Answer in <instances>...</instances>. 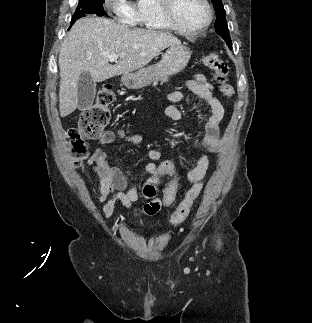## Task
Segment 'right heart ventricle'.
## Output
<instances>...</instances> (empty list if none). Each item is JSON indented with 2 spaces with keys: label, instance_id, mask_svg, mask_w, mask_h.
Returning <instances> with one entry per match:
<instances>
[{
  "label": "right heart ventricle",
  "instance_id": "right-heart-ventricle-1",
  "mask_svg": "<svg viewBox=\"0 0 312 323\" xmlns=\"http://www.w3.org/2000/svg\"><path fill=\"white\" fill-rule=\"evenodd\" d=\"M132 16H136L135 23L139 29H170L169 18L165 9H158V5H138L132 9Z\"/></svg>",
  "mask_w": 312,
  "mask_h": 323
}]
</instances>
